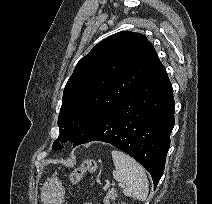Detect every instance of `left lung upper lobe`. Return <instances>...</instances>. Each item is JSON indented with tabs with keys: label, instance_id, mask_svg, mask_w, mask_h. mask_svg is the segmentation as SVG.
I'll return each mask as SVG.
<instances>
[{
	"label": "left lung upper lobe",
	"instance_id": "1",
	"mask_svg": "<svg viewBox=\"0 0 212 204\" xmlns=\"http://www.w3.org/2000/svg\"><path fill=\"white\" fill-rule=\"evenodd\" d=\"M161 65L152 44L140 33L122 31L98 43L68 79L58 118L61 134L52 149L63 147L59 141L75 145Z\"/></svg>",
	"mask_w": 212,
	"mask_h": 204
}]
</instances>
